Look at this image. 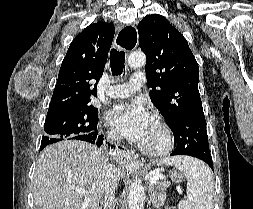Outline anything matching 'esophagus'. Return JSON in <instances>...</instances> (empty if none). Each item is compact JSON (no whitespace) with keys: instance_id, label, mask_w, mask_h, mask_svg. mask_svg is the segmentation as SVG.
I'll list each match as a JSON object with an SVG mask.
<instances>
[{"instance_id":"esophagus-1","label":"esophagus","mask_w":253,"mask_h":209,"mask_svg":"<svg viewBox=\"0 0 253 209\" xmlns=\"http://www.w3.org/2000/svg\"><path fill=\"white\" fill-rule=\"evenodd\" d=\"M138 43V33L137 28L134 24H129L123 26L117 33L114 44L125 50L126 52H131L135 49ZM116 156L120 163L131 165L139 164L140 161L136 160L134 152L128 149H125L123 145L116 146Z\"/></svg>"}]
</instances>
